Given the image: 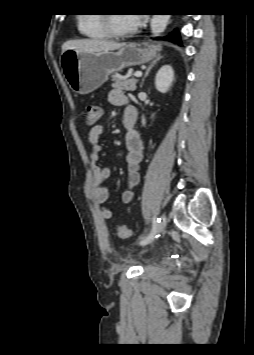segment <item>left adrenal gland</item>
<instances>
[{"label":"left adrenal gland","mask_w":254,"mask_h":355,"mask_svg":"<svg viewBox=\"0 0 254 355\" xmlns=\"http://www.w3.org/2000/svg\"><path fill=\"white\" fill-rule=\"evenodd\" d=\"M160 59H162V56H161V55H158V56L156 57V59H154V60L152 61V63L149 65V67H148V69L146 70L145 75H144V77H143V79H142V81H141V84H140V88H141V89H142V87H143L144 81H145L146 77L148 76L150 70L154 67V65H155L158 61H160Z\"/></svg>","instance_id":"1"}]
</instances>
